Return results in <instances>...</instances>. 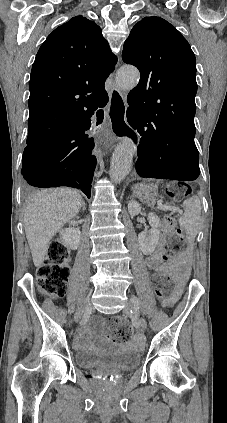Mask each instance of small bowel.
I'll return each mask as SVG.
<instances>
[{"label": "small bowel", "mask_w": 227, "mask_h": 423, "mask_svg": "<svg viewBox=\"0 0 227 423\" xmlns=\"http://www.w3.org/2000/svg\"><path fill=\"white\" fill-rule=\"evenodd\" d=\"M146 263L149 268L155 270L156 272H172L179 279L185 278L188 275L189 271L188 260L186 255H183L180 258L171 262L164 263L161 259L159 252H154L147 257ZM175 301L176 297L167 299L164 301V306L169 307L173 305ZM101 322V318L93 319L89 322L86 327L78 330L75 335V345L77 347H85L90 334V326L93 324H99Z\"/></svg>", "instance_id": "obj_1"}]
</instances>
